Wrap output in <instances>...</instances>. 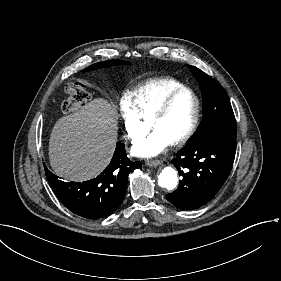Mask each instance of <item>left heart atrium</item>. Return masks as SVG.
Segmentation results:
<instances>
[{"instance_id": "1", "label": "left heart atrium", "mask_w": 281, "mask_h": 281, "mask_svg": "<svg viewBox=\"0 0 281 281\" xmlns=\"http://www.w3.org/2000/svg\"><path fill=\"white\" fill-rule=\"evenodd\" d=\"M170 142L158 132H152L147 138L138 143L133 153L140 158H152L163 153Z\"/></svg>"}]
</instances>
